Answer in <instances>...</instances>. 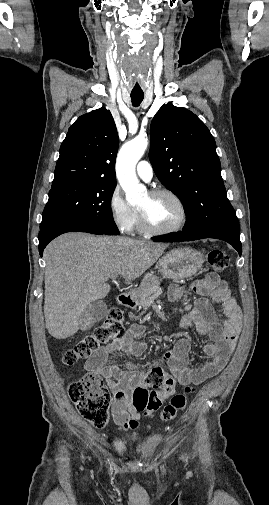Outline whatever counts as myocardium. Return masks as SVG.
<instances>
[{"instance_id": "f54148a6", "label": "myocardium", "mask_w": 269, "mask_h": 505, "mask_svg": "<svg viewBox=\"0 0 269 505\" xmlns=\"http://www.w3.org/2000/svg\"><path fill=\"white\" fill-rule=\"evenodd\" d=\"M149 194L154 197H157V196L171 197L180 207L181 219L176 225H174L172 227L158 228L150 223L147 216L145 215V213L142 210L138 209L139 219H140V224H141L142 229L145 232H147L149 234H153V235H167V234L176 233V232L182 230L185 227V225L187 224V221L189 218L188 209H187V206H186L185 202L183 201V199L174 191L169 190V189H165V188L154 189V190L150 191Z\"/></svg>"}]
</instances>
